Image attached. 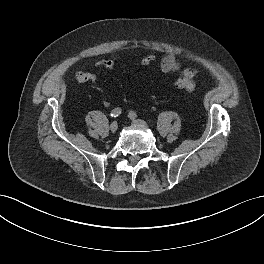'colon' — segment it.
I'll use <instances>...</instances> for the list:
<instances>
[{"label":"colon","mask_w":264,"mask_h":264,"mask_svg":"<svg viewBox=\"0 0 264 264\" xmlns=\"http://www.w3.org/2000/svg\"><path fill=\"white\" fill-rule=\"evenodd\" d=\"M154 60H155V56L152 54H149V55H146L142 58L141 64L147 66V65H150L151 63H153ZM100 64L102 67H104L106 69H111L114 65V60L106 58V59H103L100 62ZM174 85L177 89L186 90V91H191L195 88V84L192 81L191 74L187 69H185L183 71L181 77L176 79V81L174 82Z\"/></svg>","instance_id":"obj_1"}]
</instances>
